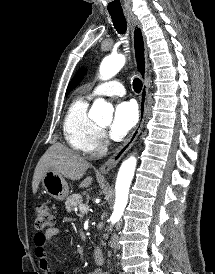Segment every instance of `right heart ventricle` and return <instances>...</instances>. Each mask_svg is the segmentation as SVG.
I'll list each match as a JSON object with an SVG mask.
<instances>
[{"label":"right heart ventricle","mask_w":215,"mask_h":274,"mask_svg":"<svg viewBox=\"0 0 215 274\" xmlns=\"http://www.w3.org/2000/svg\"><path fill=\"white\" fill-rule=\"evenodd\" d=\"M88 105L87 97H76L69 105L63 122L66 142L82 153L91 152L92 140L99 129L88 115Z\"/></svg>","instance_id":"obj_1"}]
</instances>
